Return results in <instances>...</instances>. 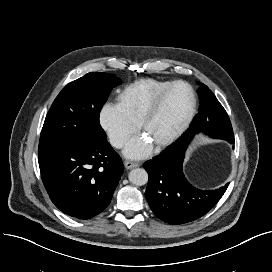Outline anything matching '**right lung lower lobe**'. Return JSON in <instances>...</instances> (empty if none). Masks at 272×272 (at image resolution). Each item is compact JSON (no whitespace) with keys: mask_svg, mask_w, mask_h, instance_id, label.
<instances>
[{"mask_svg":"<svg viewBox=\"0 0 272 272\" xmlns=\"http://www.w3.org/2000/svg\"><path fill=\"white\" fill-rule=\"evenodd\" d=\"M42 181L63 213L89 219L110 203L123 174V163L107 140L40 143Z\"/></svg>","mask_w":272,"mask_h":272,"instance_id":"obj_1","label":"right lung lower lobe"}]
</instances>
